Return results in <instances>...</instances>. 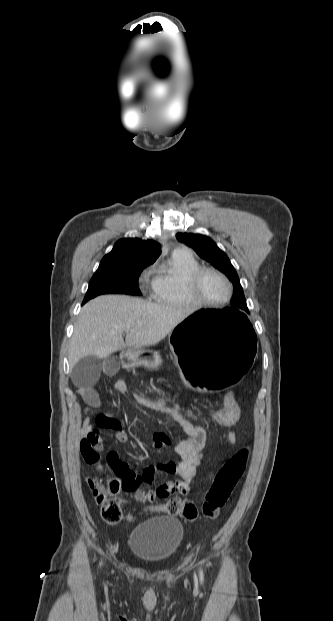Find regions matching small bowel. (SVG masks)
Returning a JSON list of instances; mask_svg holds the SVG:
<instances>
[{"label": "small bowel", "mask_w": 333, "mask_h": 621, "mask_svg": "<svg viewBox=\"0 0 333 621\" xmlns=\"http://www.w3.org/2000/svg\"><path fill=\"white\" fill-rule=\"evenodd\" d=\"M106 367L112 369L114 361H108ZM115 389L118 393L125 394L121 380L116 382ZM78 395L85 403L84 412L87 411V407H98L100 404L97 392L90 385L82 386L78 390ZM177 423L186 435L185 439L180 441L176 447V451L181 456L182 461L179 464H175L171 460L157 462L145 468L141 474L134 472L138 481L136 488L132 492L140 502H153L156 499L168 498L173 495H186L193 488V479L204 457L207 434L204 427L200 424L188 421H177ZM102 429L113 430L117 440L120 442L128 440V435L124 431L122 424L115 417L100 414L95 420V425L89 417H84L80 434V452L87 464L97 465L99 462L100 452L103 449V440L100 434ZM228 440L231 444L235 443L236 438L233 431H229ZM170 444V438L164 433H157L153 436V447L155 449H162ZM108 462L112 469L125 467L131 470L129 465L123 462L116 453H110ZM157 474H175L179 476V479L168 480L154 489L141 487L142 483H152ZM210 475L212 476L213 473L211 472Z\"/></svg>", "instance_id": "1"}]
</instances>
